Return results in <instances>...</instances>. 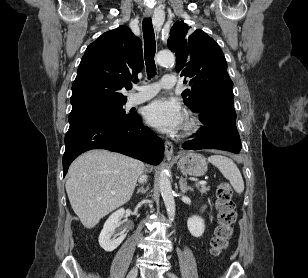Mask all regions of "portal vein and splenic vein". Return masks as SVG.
<instances>
[{
  "instance_id": "18ae733b",
  "label": "portal vein and splenic vein",
  "mask_w": 308,
  "mask_h": 278,
  "mask_svg": "<svg viewBox=\"0 0 308 278\" xmlns=\"http://www.w3.org/2000/svg\"><path fill=\"white\" fill-rule=\"evenodd\" d=\"M207 182L206 181H199V182H197L196 184L197 185H205Z\"/></svg>"
}]
</instances>
